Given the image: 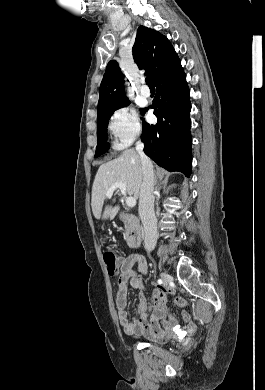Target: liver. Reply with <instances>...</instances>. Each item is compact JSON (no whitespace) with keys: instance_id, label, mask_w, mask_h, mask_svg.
<instances>
[{"instance_id":"obj_1","label":"liver","mask_w":265,"mask_h":390,"mask_svg":"<svg viewBox=\"0 0 265 390\" xmlns=\"http://www.w3.org/2000/svg\"><path fill=\"white\" fill-rule=\"evenodd\" d=\"M143 181L141 159L134 149H127L122 154L107 163L102 164L95 176L92 187L91 206L96 219L101 218L102 207L109 188L122 182L126 185V192L137 199ZM118 189L115 190V195ZM115 201V200H113ZM119 211V206H107L103 212V219H113Z\"/></svg>"}]
</instances>
